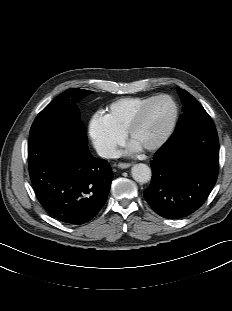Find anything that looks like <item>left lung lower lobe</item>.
<instances>
[{
  "label": "left lung lower lobe",
  "instance_id": "left-lung-lower-lobe-1",
  "mask_svg": "<svg viewBox=\"0 0 232 311\" xmlns=\"http://www.w3.org/2000/svg\"><path fill=\"white\" fill-rule=\"evenodd\" d=\"M150 164L152 181L144 197L158 215L179 219L199 209L215 186L219 168V142L211 117L177 126Z\"/></svg>",
  "mask_w": 232,
  "mask_h": 311
}]
</instances>
